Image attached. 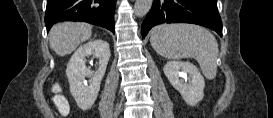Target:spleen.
Returning a JSON list of instances; mask_svg holds the SVG:
<instances>
[{"instance_id":"spleen-1","label":"spleen","mask_w":273,"mask_h":118,"mask_svg":"<svg viewBox=\"0 0 273 118\" xmlns=\"http://www.w3.org/2000/svg\"><path fill=\"white\" fill-rule=\"evenodd\" d=\"M150 42L165 58L196 59L204 76L215 78L219 50L215 37L208 30L188 24L160 25L152 30Z\"/></svg>"}]
</instances>
